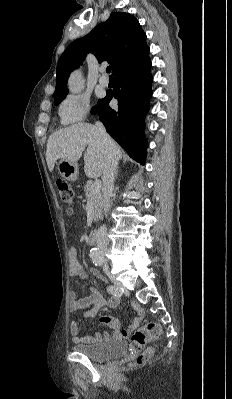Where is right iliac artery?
<instances>
[{
	"instance_id": "82829eb1",
	"label": "right iliac artery",
	"mask_w": 232,
	"mask_h": 399,
	"mask_svg": "<svg viewBox=\"0 0 232 399\" xmlns=\"http://www.w3.org/2000/svg\"><path fill=\"white\" fill-rule=\"evenodd\" d=\"M91 259H92V262L96 266H101L104 263V256L103 255H92Z\"/></svg>"
}]
</instances>
